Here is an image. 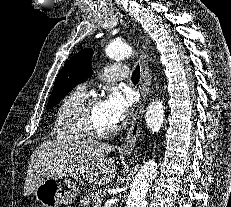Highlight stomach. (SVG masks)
<instances>
[{
  "label": "stomach",
  "instance_id": "stomach-1",
  "mask_svg": "<svg viewBox=\"0 0 231 207\" xmlns=\"http://www.w3.org/2000/svg\"><path fill=\"white\" fill-rule=\"evenodd\" d=\"M78 192V184L72 179L52 176L38 184L34 196L44 207H59L71 205Z\"/></svg>",
  "mask_w": 231,
  "mask_h": 207
}]
</instances>
